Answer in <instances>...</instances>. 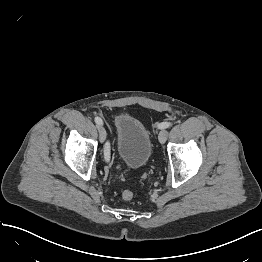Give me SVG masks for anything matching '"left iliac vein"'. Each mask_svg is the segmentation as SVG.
I'll use <instances>...</instances> for the list:
<instances>
[{"instance_id": "left-iliac-vein-1", "label": "left iliac vein", "mask_w": 262, "mask_h": 262, "mask_svg": "<svg viewBox=\"0 0 262 262\" xmlns=\"http://www.w3.org/2000/svg\"><path fill=\"white\" fill-rule=\"evenodd\" d=\"M167 136H168V131L166 129H162L160 132H159V142L161 144H164L167 140Z\"/></svg>"}]
</instances>
